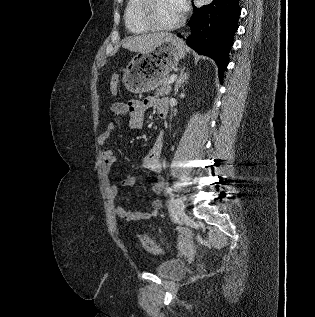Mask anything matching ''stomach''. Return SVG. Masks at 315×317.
Returning <instances> with one entry per match:
<instances>
[{
  "label": "stomach",
  "mask_w": 315,
  "mask_h": 317,
  "mask_svg": "<svg viewBox=\"0 0 315 317\" xmlns=\"http://www.w3.org/2000/svg\"><path fill=\"white\" fill-rule=\"evenodd\" d=\"M183 42L172 35L163 38L151 51L137 53L124 70L125 88L135 94L154 90L185 56Z\"/></svg>",
  "instance_id": "0dacf381"
}]
</instances>
